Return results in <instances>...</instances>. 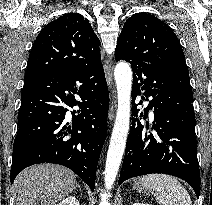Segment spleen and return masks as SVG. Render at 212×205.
I'll return each instance as SVG.
<instances>
[{"instance_id": "1", "label": "spleen", "mask_w": 212, "mask_h": 205, "mask_svg": "<svg viewBox=\"0 0 212 205\" xmlns=\"http://www.w3.org/2000/svg\"><path fill=\"white\" fill-rule=\"evenodd\" d=\"M141 184L145 190L156 192V201L160 205H192L187 190L173 176L149 174L143 176Z\"/></svg>"}]
</instances>
